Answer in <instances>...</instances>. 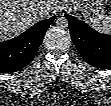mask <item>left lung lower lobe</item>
<instances>
[{"instance_id":"0a47b994","label":"left lung lower lobe","mask_w":111,"mask_h":106,"mask_svg":"<svg viewBox=\"0 0 111 106\" xmlns=\"http://www.w3.org/2000/svg\"><path fill=\"white\" fill-rule=\"evenodd\" d=\"M65 17L75 47L83 59L97 68L111 69V35L98 33L71 15Z\"/></svg>"}]
</instances>
